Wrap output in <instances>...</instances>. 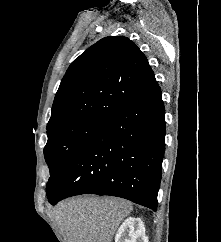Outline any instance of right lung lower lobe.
<instances>
[{"mask_svg": "<svg viewBox=\"0 0 221 242\" xmlns=\"http://www.w3.org/2000/svg\"><path fill=\"white\" fill-rule=\"evenodd\" d=\"M165 110L157 82L104 119L49 192L52 205L80 194L128 199L152 210L165 151Z\"/></svg>", "mask_w": 221, "mask_h": 242, "instance_id": "98d812e1", "label": "right lung lower lobe"}]
</instances>
